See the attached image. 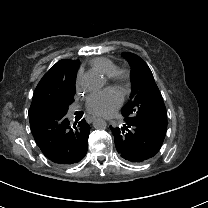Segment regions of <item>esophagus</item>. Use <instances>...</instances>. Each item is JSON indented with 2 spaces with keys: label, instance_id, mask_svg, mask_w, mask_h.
<instances>
[{
  "label": "esophagus",
  "instance_id": "obj_1",
  "mask_svg": "<svg viewBox=\"0 0 208 208\" xmlns=\"http://www.w3.org/2000/svg\"><path fill=\"white\" fill-rule=\"evenodd\" d=\"M95 119H96V117H94V116H89V117L86 118V121H87L88 123H92L93 121H95Z\"/></svg>",
  "mask_w": 208,
  "mask_h": 208
}]
</instances>
